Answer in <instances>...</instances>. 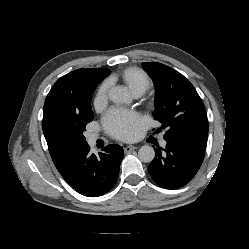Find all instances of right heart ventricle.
I'll return each mask as SVG.
<instances>
[{"label":"right heart ventricle","instance_id":"obj_1","mask_svg":"<svg viewBox=\"0 0 249 249\" xmlns=\"http://www.w3.org/2000/svg\"><path fill=\"white\" fill-rule=\"evenodd\" d=\"M121 80L135 96L147 91L151 82L148 75L140 68L129 67L112 76V80Z\"/></svg>","mask_w":249,"mask_h":249}]
</instances>
